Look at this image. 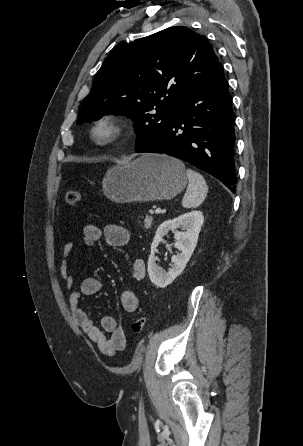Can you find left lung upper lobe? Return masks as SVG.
I'll return each mask as SVG.
<instances>
[{"label": "left lung upper lobe", "mask_w": 303, "mask_h": 446, "mask_svg": "<svg viewBox=\"0 0 303 446\" xmlns=\"http://www.w3.org/2000/svg\"><path fill=\"white\" fill-rule=\"evenodd\" d=\"M218 62L208 40L184 26L121 44L97 72L77 124L126 115L135 122L138 150L161 134L177 104Z\"/></svg>", "instance_id": "5c2ea615"}]
</instances>
